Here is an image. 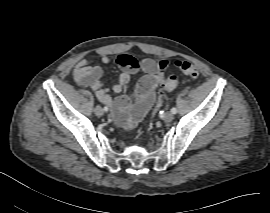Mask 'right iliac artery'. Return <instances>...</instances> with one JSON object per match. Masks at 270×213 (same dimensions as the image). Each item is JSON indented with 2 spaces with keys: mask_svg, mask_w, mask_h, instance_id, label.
<instances>
[{
  "mask_svg": "<svg viewBox=\"0 0 270 213\" xmlns=\"http://www.w3.org/2000/svg\"><path fill=\"white\" fill-rule=\"evenodd\" d=\"M105 112H107L109 109H108V107H104V109H103Z\"/></svg>",
  "mask_w": 270,
  "mask_h": 213,
  "instance_id": "obj_1",
  "label": "right iliac artery"
}]
</instances>
